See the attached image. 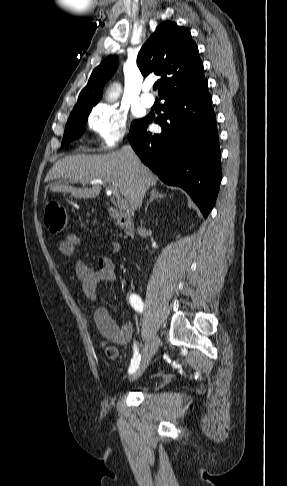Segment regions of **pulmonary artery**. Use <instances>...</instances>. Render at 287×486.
Segmentation results:
<instances>
[{"mask_svg": "<svg viewBox=\"0 0 287 486\" xmlns=\"http://www.w3.org/2000/svg\"><path fill=\"white\" fill-rule=\"evenodd\" d=\"M151 88L150 84H145L142 88V94L140 97L141 103L145 107H152L154 105L155 99L151 93H149Z\"/></svg>", "mask_w": 287, "mask_h": 486, "instance_id": "pulmonary-artery-1", "label": "pulmonary artery"}]
</instances>
